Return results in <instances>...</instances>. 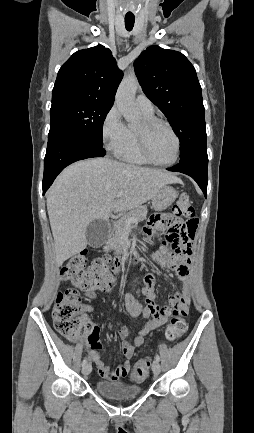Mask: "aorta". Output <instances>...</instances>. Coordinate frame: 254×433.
<instances>
[{"label": "aorta", "mask_w": 254, "mask_h": 433, "mask_svg": "<svg viewBox=\"0 0 254 433\" xmlns=\"http://www.w3.org/2000/svg\"><path fill=\"white\" fill-rule=\"evenodd\" d=\"M138 80L131 74L125 77L116 93L115 103L122 113L125 120L130 124H135L140 119V114L135 107L134 98L138 88Z\"/></svg>", "instance_id": "1"}]
</instances>
